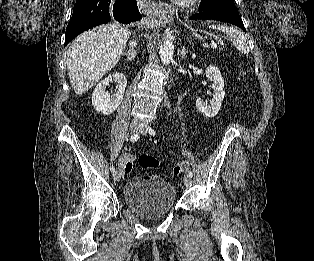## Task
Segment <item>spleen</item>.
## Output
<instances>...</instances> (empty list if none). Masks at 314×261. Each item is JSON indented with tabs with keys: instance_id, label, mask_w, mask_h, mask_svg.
I'll return each instance as SVG.
<instances>
[{
	"instance_id": "3e777b00",
	"label": "spleen",
	"mask_w": 314,
	"mask_h": 261,
	"mask_svg": "<svg viewBox=\"0 0 314 261\" xmlns=\"http://www.w3.org/2000/svg\"><path fill=\"white\" fill-rule=\"evenodd\" d=\"M213 29H218L223 31L226 36L229 38L230 41L233 42V44L237 47V49L243 53V54H248L250 51L248 42L246 37L244 36L243 32L228 26V25H212L210 26Z\"/></svg>"
}]
</instances>
